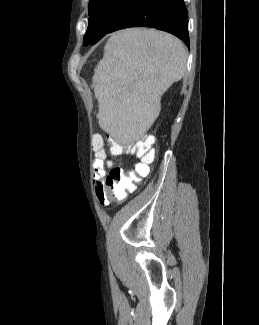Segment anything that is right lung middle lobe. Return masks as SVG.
I'll return each instance as SVG.
<instances>
[{
	"label": "right lung middle lobe",
	"instance_id": "1",
	"mask_svg": "<svg viewBox=\"0 0 259 325\" xmlns=\"http://www.w3.org/2000/svg\"><path fill=\"white\" fill-rule=\"evenodd\" d=\"M130 0H90L88 28L83 43L95 44L108 33L112 23Z\"/></svg>",
	"mask_w": 259,
	"mask_h": 325
}]
</instances>
